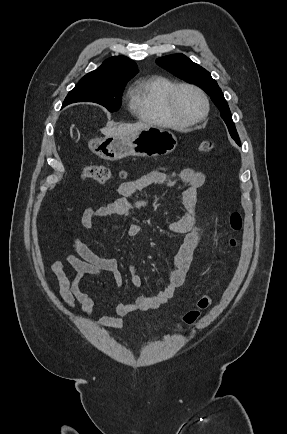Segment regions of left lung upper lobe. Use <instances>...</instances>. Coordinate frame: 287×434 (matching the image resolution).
Listing matches in <instances>:
<instances>
[{"label": "left lung upper lobe", "instance_id": "1", "mask_svg": "<svg viewBox=\"0 0 287 434\" xmlns=\"http://www.w3.org/2000/svg\"><path fill=\"white\" fill-rule=\"evenodd\" d=\"M156 63L176 77L193 83L203 89L220 110L221 117L225 121L231 137L240 144V139L234 126L229 106L217 82L211 77V74L207 70L192 62L183 54L164 56L158 58Z\"/></svg>", "mask_w": 287, "mask_h": 434}]
</instances>
